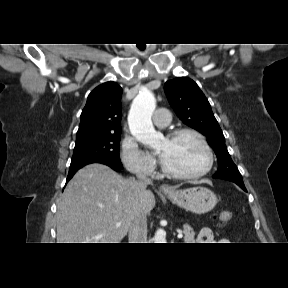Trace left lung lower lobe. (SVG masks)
Listing matches in <instances>:
<instances>
[{
  "instance_id": "left-lung-lower-lobe-1",
  "label": "left lung lower lobe",
  "mask_w": 288,
  "mask_h": 288,
  "mask_svg": "<svg viewBox=\"0 0 288 288\" xmlns=\"http://www.w3.org/2000/svg\"><path fill=\"white\" fill-rule=\"evenodd\" d=\"M237 185H239L244 191H246L247 192V190H246V188H245V186H244V184H237Z\"/></svg>"
}]
</instances>
